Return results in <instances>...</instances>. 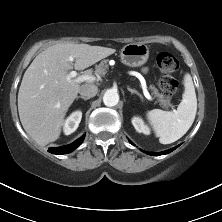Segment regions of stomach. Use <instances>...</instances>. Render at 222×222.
Returning <instances> with one entry per match:
<instances>
[{
    "label": "stomach",
    "mask_w": 222,
    "mask_h": 222,
    "mask_svg": "<svg viewBox=\"0 0 222 222\" xmlns=\"http://www.w3.org/2000/svg\"><path fill=\"white\" fill-rule=\"evenodd\" d=\"M120 57L127 66H142L148 60L149 47L142 42L127 44L121 49Z\"/></svg>",
    "instance_id": "0dacf381"
}]
</instances>
